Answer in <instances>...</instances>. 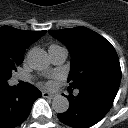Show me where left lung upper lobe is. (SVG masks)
Masks as SVG:
<instances>
[{
	"label": "left lung upper lobe",
	"mask_w": 128,
	"mask_h": 128,
	"mask_svg": "<svg viewBox=\"0 0 128 128\" xmlns=\"http://www.w3.org/2000/svg\"><path fill=\"white\" fill-rule=\"evenodd\" d=\"M48 32L63 42L71 54L70 88H81L98 80L120 82L119 58L104 37L85 27Z\"/></svg>",
	"instance_id": "1"
}]
</instances>
